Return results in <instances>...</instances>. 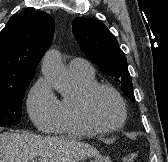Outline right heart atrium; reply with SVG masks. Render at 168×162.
I'll return each mask as SVG.
<instances>
[{
  "instance_id": "d8ad5b80",
  "label": "right heart atrium",
  "mask_w": 168,
  "mask_h": 162,
  "mask_svg": "<svg viewBox=\"0 0 168 162\" xmlns=\"http://www.w3.org/2000/svg\"><path fill=\"white\" fill-rule=\"evenodd\" d=\"M27 109L30 118L41 131H50L58 122L59 100L45 78H39L29 91Z\"/></svg>"
}]
</instances>
